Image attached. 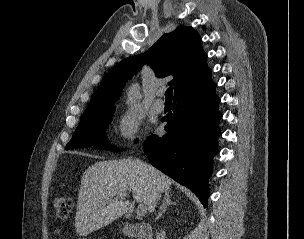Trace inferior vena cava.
Segmentation results:
<instances>
[{"label":"inferior vena cava","instance_id":"obj_1","mask_svg":"<svg viewBox=\"0 0 304 239\" xmlns=\"http://www.w3.org/2000/svg\"><path fill=\"white\" fill-rule=\"evenodd\" d=\"M158 197L159 196L157 194L154 195V201H153L154 207L156 206V201H157Z\"/></svg>","mask_w":304,"mask_h":239}]
</instances>
